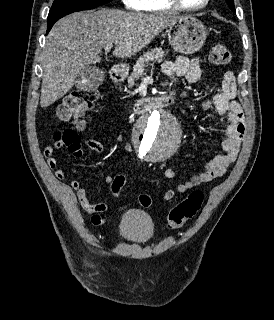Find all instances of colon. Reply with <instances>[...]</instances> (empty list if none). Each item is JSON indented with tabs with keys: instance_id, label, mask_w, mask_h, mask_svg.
<instances>
[{
	"instance_id": "5ec220e1",
	"label": "colon",
	"mask_w": 274,
	"mask_h": 320,
	"mask_svg": "<svg viewBox=\"0 0 274 320\" xmlns=\"http://www.w3.org/2000/svg\"><path fill=\"white\" fill-rule=\"evenodd\" d=\"M232 55L224 42L213 44L209 53V61L215 66H225L230 64ZM98 100V93L94 89L80 88L72 90L64 98L55 114V120L67 124L68 120H81V117L89 112ZM53 142L65 145L70 151L79 149L81 140L77 131H72V127H66L61 133L59 130L52 135ZM116 182H110L109 188L119 193L124 189L126 181L125 175H116ZM204 201V194L199 190H193L188 197L175 205L168 215V226L178 228L186 221L191 220L200 209ZM143 205H150L151 200L143 196L140 198Z\"/></svg>"
}]
</instances>
